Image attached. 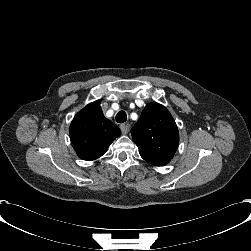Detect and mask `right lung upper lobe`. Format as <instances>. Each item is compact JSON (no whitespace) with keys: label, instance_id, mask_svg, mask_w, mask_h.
I'll return each mask as SVG.
<instances>
[{"label":"right lung upper lobe","instance_id":"obj_1","mask_svg":"<svg viewBox=\"0 0 251 251\" xmlns=\"http://www.w3.org/2000/svg\"><path fill=\"white\" fill-rule=\"evenodd\" d=\"M69 133L77 155L90 161L105 154L110 144L120 136V129L104 117L100 101L97 100L76 114Z\"/></svg>","mask_w":251,"mask_h":251}]
</instances>
